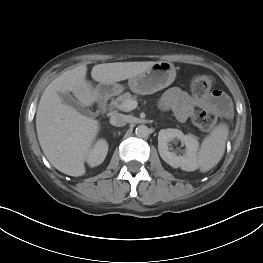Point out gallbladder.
Wrapping results in <instances>:
<instances>
[{"instance_id":"1","label":"gallbladder","mask_w":263,"mask_h":263,"mask_svg":"<svg viewBox=\"0 0 263 263\" xmlns=\"http://www.w3.org/2000/svg\"><path fill=\"white\" fill-rule=\"evenodd\" d=\"M59 96L62 103L74 108L75 110L88 114L89 111L80 102L76 101L68 92H60Z\"/></svg>"}]
</instances>
